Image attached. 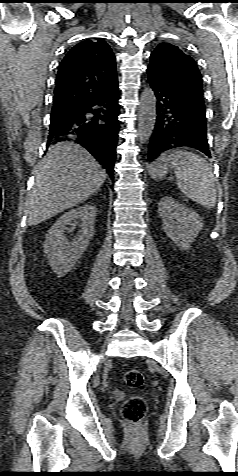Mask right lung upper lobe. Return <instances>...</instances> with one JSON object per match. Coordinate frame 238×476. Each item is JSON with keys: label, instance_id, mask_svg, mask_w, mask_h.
I'll use <instances>...</instances> for the list:
<instances>
[{"label": "right lung upper lobe", "instance_id": "right-lung-upper-lobe-1", "mask_svg": "<svg viewBox=\"0 0 238 476\" xmlns=\"http://www.w3.org/2000/svg\"><path fill=\"white\" fill-rule=\"evenodd\" d=\"M118 85L115 56L103 39L86 40L61 61L53 109H79Z\"/></svg>", "mask_w": 238, "mask_h": 476}]
</instances>
